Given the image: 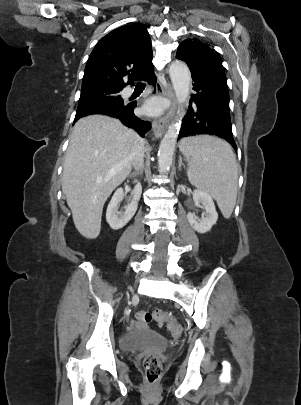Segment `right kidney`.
Returning a JSON list of instances; mask_svg holds the SVG:
<instances>
[{"label":"right kidney","mask_w":301,"mask_h":405,"mask_svg":"<svg viewBox=\"0 0 301 405\" xmlns=\"http://www.w3.org/2000/svg\"><path fill=\"white\" fill-rule=\"evenodd\" d=\"M141 193V185L136 184L132 191V201L125 207L124 212H119V204L123 200L124 193L122 188H118L115 191L106 211V220L113 230L121 229L131 220L137 211L138 201L140 200Z\"/></svg>","instance_id":"obj_1"}]
</instances>
